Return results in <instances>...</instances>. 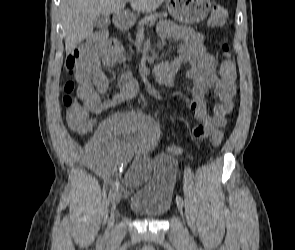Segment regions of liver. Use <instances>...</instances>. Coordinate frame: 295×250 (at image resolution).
<instances>
[{"instance_id":"obj_1","label":"liver","mask_w":295,"mask_h":250,"mask_svg":"<svg viewBox=\"0 0 295 250\" xmlns=\"http://www.w3.org/2000/svg\"><path fill=\"white\" fill-rule=\"evenodd\" d=\"M128 0H62L60 9L66 33L65 49L72 52L93 33L96 18L105 14L121 12ZM164 0H132L131 8L138 12L151 13Z\"/></svg>"}]
</instances>
